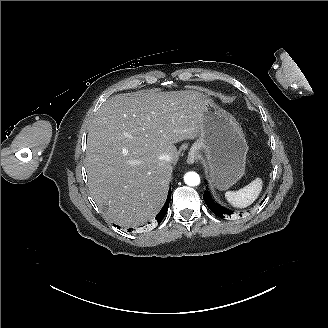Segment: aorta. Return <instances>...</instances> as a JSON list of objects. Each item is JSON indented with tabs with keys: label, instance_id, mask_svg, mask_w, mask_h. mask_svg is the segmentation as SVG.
<instances>
[{
	"label": "aorta",
	"instance_id": "762f6f07",
	"mask_svg": "<svg viewBox=\"0 0 328 328\" xmlns=\"http://www.w3.org/2000/svg\"><path fill=\"white\" fill-rule=\"evenodd\" d=\"M184 181L189 186H197L200 184V176L196 172H187L184 175Z\"/></svg>",
	"mask_w": 328,
	"mask_h": 328
}]
</instances>
